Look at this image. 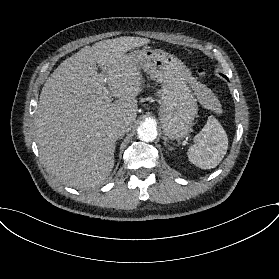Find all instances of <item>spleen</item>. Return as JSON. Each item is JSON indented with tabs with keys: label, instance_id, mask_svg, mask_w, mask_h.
<instances>
[{
	"label": "spleen",
	"instance_id": "3e777b00",
	"mask_svg": "<svg viewBox=\"0 0 279 279\" xmlns=\"http://www.w3.org/2000/svg\"><path fill=\"white\" fill-rule=\"evenodd\" d=\"M198 101L203 108L222 115V107L211 90L202 86V94ZM228 148V138L219 124L209 116L200 132L193 137V144L188 149V159L196 167L211 169L216 167L224 158Z\"/></svg>",
	"mask_w": 279,
	"mask_h": 279
}]
</instances>
